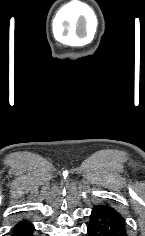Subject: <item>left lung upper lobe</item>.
<instances>
[{"mask_svg":"<svg viewBox=\"0 0 145 236\" xmlns=\"http://www.w3.org/2000/svg\"><path fill=\"white\" fill-rule=\"evenodd\" d=\"M96 207L103 208L104 210L113 213L114 215H116L117 217H119L120 219H122L123 221H125V219L122 217V215H121L116 209H114L112 206H110V205H108V204L97 205Z\"/></svg>","mask_w":145,"mask_h":236,"instance_id":"obj_1","label":"left lung upper lobe"}]
</instances>
